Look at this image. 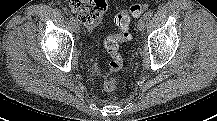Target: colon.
Returning a JSON list of instances; mask_svg holds the SVG:
<instances>
[{
	"label": "colon",
	"instance_id": "5ec220e1",
	"mask_svg": "<svg viewBox=\"0 0 217 121\" xmlns=\"http://www.w3.org/2000/svg\"><path fill=\"white\" fill-rule=\"evenodd\" d=\"M66 5L82 23L89 27L100 25L107 10L106 0H66ZM147 9V4L134 3L116 15L115 24L119 33L104 41V47L111 56L110 73H117L122 68L123 60L119 53V43L131 40L130 17L137 18ZM116 87L117 79L114 77L106 79L103 83L106 92H113Z\"/></svg>",
	"mask_w": 217,
	"mask_h": 121
}]
</instances>
